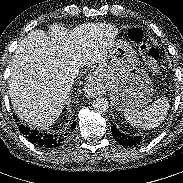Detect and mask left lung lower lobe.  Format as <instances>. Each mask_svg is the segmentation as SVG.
<instances>
[{
    "mask_svg": "<svg viewBox=\"0 0 183 183\" xmlns=\"http://www.w3.org/2000/svg\"><path fill=\"white\" fill-rule=\"evenodd\" d=\"M111 131H112V136L114 137V139L121 145L123 146H135L140 144V142L142 141V137L141 136H135V137H131V136H126L123 133H121L120 131L117 130L116 126L113 125L111 126Z\"/></svg>",
    "mask_w": 183,
    "mask_h": 183,
    "instance_id": "obj_1",
    "label": "left lung lower lobe"
}]
</instances>
